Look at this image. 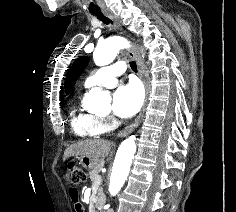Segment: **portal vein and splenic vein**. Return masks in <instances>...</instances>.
<instances>
[{
	"mask_svg": "<svg viewBox=\"0 0 236 212\" xmlns=\"http://www.w3.org/2000/svg\"><path fill=\"white\" fill-rule=\"evenodd\" d=\"M96 182H97V183H100V182H101V176H98V178L96 179Z\"/></svg>",
	"mask_w": 236,
	"mask_h": 212,
	"instance_id": "1",
	"label": "portal vein and splenic vein"
}]
</instances>
